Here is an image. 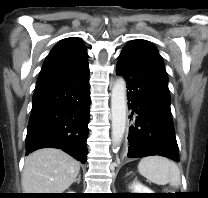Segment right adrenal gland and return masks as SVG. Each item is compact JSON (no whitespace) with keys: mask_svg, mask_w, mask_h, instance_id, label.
I'll return each instance as SVG.
<instances>
[{"mask_svg":"<svg viewBox=\"0 0 208 198\" xmlns=\"http://www.w3.org/2000/svg\"><path fill=\"white\" fill-rule=\"evenodd\" d=\"M80 180H81V175L79 174L78 178L75 181H77V183L79 184Z\"/></svg>","mask_w":208,"mask_h":198,"instance_id":"obj_1","label":"right adrenal gland"}]
</instances>
